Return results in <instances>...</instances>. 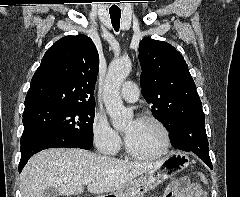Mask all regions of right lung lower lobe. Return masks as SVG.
<instances>
[{
	"instance_id": "98d812e1",
	"label": "right lung lower lobe",
	"mask_w": 240,
	"mask_h": 197,
	"mask_svg": "<svg viewBox=\"0 0 240 197\" xmlns=\"http://www.w3.org/2000/svg\"><path fill=\"white\" fill-rule=\"evenodd\" d=\"M57 147L79 148L72 142L65 141L62 138L54 136H30L25 139H21L19 172L22 171V168L33 154L44 149Z\"/></svg>"
}]
</instances>
